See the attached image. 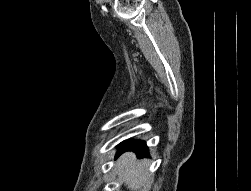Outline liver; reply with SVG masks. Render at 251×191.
Returning <instances> with one entry per match:
<instances>
[{"mask_svg":"<svg viewBox=\"0 0 251 191\" xmlns=\"http://www.w3.org/2000/svg\"><path fill=\"white\" fill-rule=\"evenodd\" d=\"M115 167L120 179L132 191L149 183L148 163L146 159H142V161L136 159L133 151H126L120 155Z\"/></svg>","mask_w":251,"mask_h":191,"instance_id":"6515ba94","label":"liver"}]
</instances>
